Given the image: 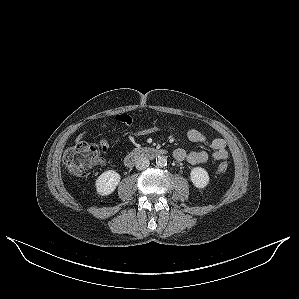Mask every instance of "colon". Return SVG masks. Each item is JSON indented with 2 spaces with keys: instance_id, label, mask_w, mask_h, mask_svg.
<instances>
[{
  "instance_id": "1",
  "label": "colon",
  "mask_w": 299,
  "mask_h": 299,
  "mask_svg": "<svg viewBox=\"0 0 299 299\" xmlns=\"http://www.w3.org/2000/svg\"><path fill=\"white\" fill-rule=\"evenodd\" d=\"M101 162L98 149L86 141L77 142L64 154V165L73 176L87 175L98 163ZM228 164L222 162L218 165L220 173L226 172Z\"/></svg>"
}]
</instances>
